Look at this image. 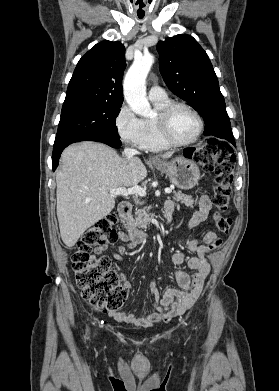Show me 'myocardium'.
<instances>
[{
	"mask_svg": "<svg viewBox=\"0 0 279 391\" xmlns=\"http://www.w3.org/2000/svg\"><path fill=\"white\" fill-rule=\"evenodd\" d=\"M177 108H185L189 110L198 121V130L193 138L187 141H177L173 138L171 134L170 121L173 112ZM156 123L160 132V135L164 142L170 147H185L195 143L203 133L204 130V120L201 114L190 104L185 102H170L168 103L161 111H159L158 116L156 117Z\"/></svg>",
	"mask_w": 279,
	"mask_h": 391,
	"instance_id": "myocardium-1",
	"label": "myocardium"
}]
</instances>
